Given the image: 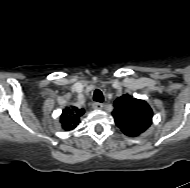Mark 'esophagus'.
<instances>
[{"mask_svg": "<svg viewBox=\"0 0 190 188\" xmlns=\"http://www.w3.org/2000/svg\"><path fill=\"white\" fill-rule=\"evenodd\" d=\"M104 105L102 103H99V102H94L92 104V108L93 109H103Z\"/></svg>", "mask_w": 190, "mask_h": 188, "instance_id": "obj_1", "label": "esophagus"}]
</instances>
